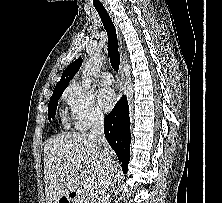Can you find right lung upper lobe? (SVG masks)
Instances as JSON below:
<instances>
[{
    "label": "right lung upper lobe",
    "instance_id": "1",
    "mask_svg": "<svg viewBox=\"0 0 222 203\" xmlns=\"http://www.w3.org/2000/svg\"><path fill=\"white\" fill-rule=\"evenodd\" d=\"M82 64V58H78L70 64L62 74L60 81L57 83L53 92L64 91L68 86V82L75 76Z\"/></svg>",
    "mask_w": 222,
    "mask_h": 203
}]
</instances>
